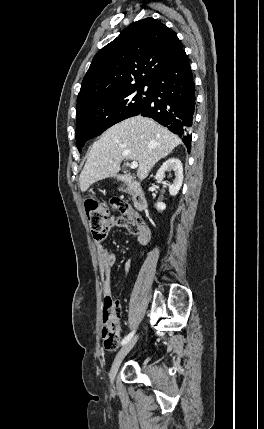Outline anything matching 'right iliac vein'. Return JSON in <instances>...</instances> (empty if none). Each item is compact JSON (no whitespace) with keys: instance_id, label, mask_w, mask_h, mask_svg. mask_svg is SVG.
<instances>
[{"instance_id":"right-iliac-vein-1","label":"right iliac vein","mask_w":264,"mask_h":429,"mask_svg":"<svg viewBox=\"0 0 264 429\" xmlns=\"http://www.w3.org/2000/svg\"><path fill=\"white\" fill-rule=\"evenodd\" d=\"M138 340V336H135L134 338H132L130 341H128L121 349L120 351L117 353L110 372H109V378L110 381L113 383L116 377V374L118 372V369L123 361V359L125 358V356L130 352V350L134 347V345L136 344Z\"/></svg>"}]
</instances>
